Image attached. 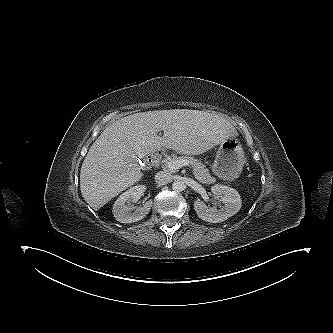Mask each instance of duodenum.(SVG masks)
I'll use <instances>...</instances> for the list:
<instances>
[{
    "label": "duodenum",
    "mask_w": 333,
    "mask_h": 333,
    "mask_svg": "<svg viewBox=\"0 0 333 333\" xmlns=\"http://www.w3.org/2000/svg\"><path fill=\"white\" fill-rule=\"evenodd\" d=\"M160 158H161V152L148 157V159L145 162L144 167L146 169H151L153 166H155L159 162Z\"/></svg>",
    "instance_id": "410a0bca"
}]
</instances>
